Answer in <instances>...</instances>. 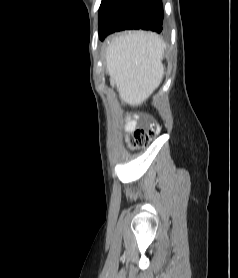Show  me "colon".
<instances>
[{
    "label": "colon",
    "instance_id": "5ec220e1",
    "mask_svg": "<svg viewBox=\"0 0 238 278\" xmlns=\"http://www.w3.org/2000/svg\"><path fill=\"white\" fill-rule=\"evenodd\" d=\"M160 129L159 126L153 124L149 129H137L129 137V145L131 147L144 146L150 140H152L158 133Z\"/></svg>",
    "mask_w": 238,
    "mask_h": 278
}]
</instances>
